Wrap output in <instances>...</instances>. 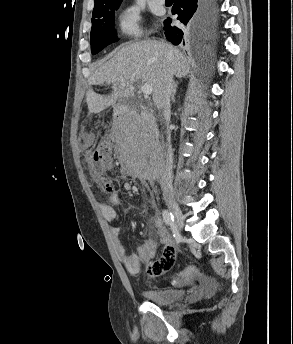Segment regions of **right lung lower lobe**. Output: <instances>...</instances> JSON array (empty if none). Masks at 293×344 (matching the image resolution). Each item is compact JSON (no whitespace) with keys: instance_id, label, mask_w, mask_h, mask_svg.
Instances as JSON below:
<instances>
[{"instance_id":"98d812e1","label":"right lung lower lobe","mask_w":293,"mask_h":344,"mask_svg":"<svg viewBox=\"0 0 293 344\" xmlns=\"http://www.w3.org/2000/svg\"><path fill=\"white\" fill-rule=\"evenodd\" d=\"M172 14L184 26H171V19L164 21V30L167 40L174 45L185 44L191 34L210 35L214 30L216 16L215 0H175Z\"/></svg>"}]
</instances>
